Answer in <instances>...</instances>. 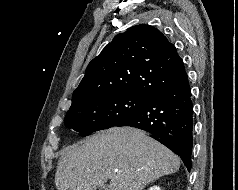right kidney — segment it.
<instances>
[{"label":"right kidney","instance_id":"obj_1","mask_svg":"<svg viewBox=\"0 0 238 190\" xmlns=\"http://www.w3.org/2000/svg\"><path fill=\"white\" fill-rule=\"evenodd\" d=\"M149 190H161L158 186H153Z\"/></svg>","mask_w":238,"mask_h":190}]
</instances>
